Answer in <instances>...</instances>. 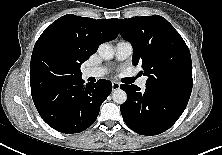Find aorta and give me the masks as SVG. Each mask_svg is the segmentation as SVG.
<instances>
[{"instance_id": "aorta-1", "label": "aorta", "mask_w": 222, "mask_h": 155, "mask_svg": "<svg viewBox=\"0 0 222 155\" xmlns=\"http://www.w3.org/2000/svg\"><path fill=\"white\" fill-rule=\"evenodd\" d=\"M98 53L105 60L112 59L114 57V54H115L114 49L112 48V46H110L107 43H103L99 46ZM112 99L117 104H123L127 100V94L122 89H116L112 93Z\"/></svg>"}]
</instances>
